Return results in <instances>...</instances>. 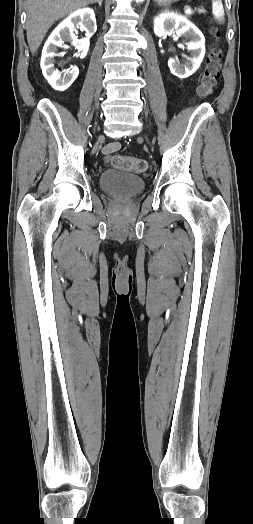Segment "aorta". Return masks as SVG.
I'll return each instance as SVG.
<instances>
[{
	"mask_svg": "<svg viewBox=\"0 0 253 524\" xmlns=\"http://www.w3.org/2000/svg\"><path fill=\"white\" fill-rule=\"evenodd\" d=\"M136 1H137V2H138V1L141 2V1H143V0H136Z\"/></svg>",
	"mask_w": 253,
	"mask_h": 524,
	"instance_id": "aorta-1",
	"label": "aorta"
}]
</instances>
